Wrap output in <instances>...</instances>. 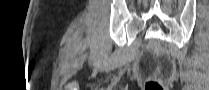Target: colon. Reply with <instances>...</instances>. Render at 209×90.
I'll return each instance as SVG.
<instances>
[{
	"instance_id": "1",
	"label": "colon",
	"mask_w": 209,
	"mask_h": 90,
	"mask_svg": "<svg viewBox=\"0 0 209 90\" xmlns=\"http://www.w3.org/2000/svg\"><path fill=\"white\" fill-rule=\"evenodd\" d=\"M145 90H165V87L159 81L151 79L146 83Z\"/></svg>"
}]
</instances>
